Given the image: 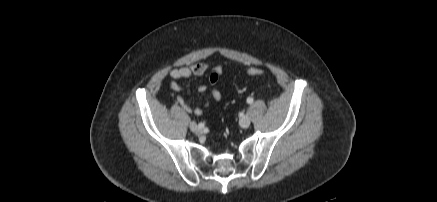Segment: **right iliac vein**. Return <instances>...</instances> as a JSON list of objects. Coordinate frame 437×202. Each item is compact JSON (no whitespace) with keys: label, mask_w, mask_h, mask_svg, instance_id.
<instances>
[{"label":"right iliac vein","mask_w":437,"mask_h":202,"mask_svg":"<svg viewBox=\"0 0 437 202\" xmlns=\"http://www.w3.org/2000/svg\"><path fill=\"white\" fill-rule=\"evenodd\" d=\"M190 129L194 133H200L202 131V128L199 125H197L195 122L190 123Z\"/></svg>","instance_id":"right-iliac-vein-1"}]
</instances>
